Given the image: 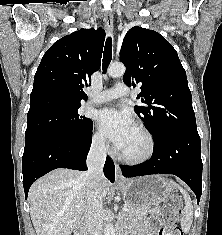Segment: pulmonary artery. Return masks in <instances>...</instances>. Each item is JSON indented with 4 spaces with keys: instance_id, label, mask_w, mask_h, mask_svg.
<instances>
[{
    "instance_id": "1",
    "label": "pulmonary artery",
    "mask_w": 222,
    "mask_h": 235,
    "mask_svg": "<svg viewBox=\"0 0 222 235\" xmlns=\"http://www.w3.org/2000/svg\"><path fill=\"white\" fill-rule=\"evenodd\" d=\"M129 95V89L125 84H117L113 88L106 89L92 99H90V104H101L112 101L117 98L125 97Z\"/></svg>"
}]
</instances>
